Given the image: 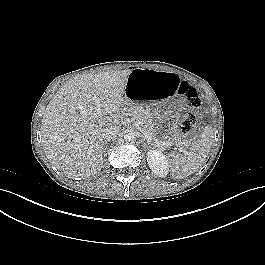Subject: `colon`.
Masks as SVG:
<instances>
[{"label":"colon","mask_w":265,"mask_h":265,"mask_svg":"<svg viewBox=\"0 0 265 265\" xmlns=\"http://www.w3.org/2000/svg\"><path fill=\"white\" fill-rule=\"evenodd\" d=\"M177 92L186 106L192 109H197L200 106L198 93L191 84L180 81ZM200 119V114L196 111L187 114L180 124L182 134L187 137L196 134L200 128Z\"/></svg>","instance_id":"obj_1"}]
</instances>
